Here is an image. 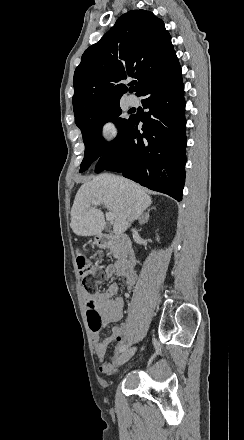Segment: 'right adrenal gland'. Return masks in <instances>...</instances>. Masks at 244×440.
<instances>
[{"label": "right adrenal gland", "mask_w": 244, "mask_h": 440, "mask_svg": "<svg viewBox=\"0 0 244 440\" xmlns=\"http://www.w3.org/2000/svg\"><path fill=\"white\" fill-rule=\"evenodd\" d=\"M150 210H155V208H150ZM150 210H147V212H145V214H139L138 220H141L142 216H148V212H150Z\"/></svg>", "instance_id": "1"}]
</instances>
